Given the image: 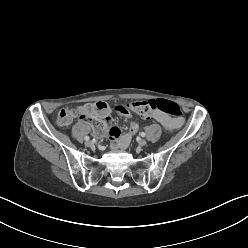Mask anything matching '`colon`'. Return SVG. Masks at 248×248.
Here are the masks:
<instances>
[{
	"label": "colon",
	"instance_id": "obj_1",
	"mask_svg": "<svg viewBox=\"0 0 248 248\" xmlns=\"http://www.w3.org/2000/svg\"><path fill=\"white\" fill-rule=\"evenodd\" d=\"M132 110L145 119H149L154 112L160 111L175 118H181L182 112L179 105L173 101L159 99L149 101H133L126 106H119L113 109L114 113L121 114L123 118L130 119L128 122V132L131 137H136L139 132V126L135 116L128 111ZM108 107L106 103L98 101L95 104L90 103L87 106L81 105L76 110H61L57 117V123L60 126H66L75 115L85 121L94 122L92 134L96 138H101L105 134V124L107 122Z\"/></svg>",
	"mask_w": 248,
	"mask_h": 248
}]
</instances>
